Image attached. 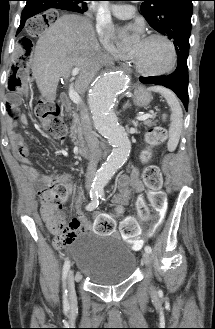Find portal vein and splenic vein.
<instances>
[{
  "instance_id": "portal-vein-and-splenic-vein-1",
  "label": "portal vein and splenic vein",
  "mask_w": 215,
  "mask_h": 329,
  "mask_svg": "<svg viewBox=\"0 0 215 329\" xmlns=\"http://www.w3.org/2000/svg\"><path fill=\"white\" fill-rule=\"evenodd\" d=\"M80 72L79 68H74L71 71L72 76L77 75ZM69 98L77 105H79L81 103V97L79 96V94L75 91L73 84H71L69 86ZM154 116L152 114H144V115H140L137 117V119L139 121H144L147 120L149 118H153Z\"/></svg>"
}]
</instances>
